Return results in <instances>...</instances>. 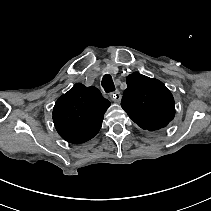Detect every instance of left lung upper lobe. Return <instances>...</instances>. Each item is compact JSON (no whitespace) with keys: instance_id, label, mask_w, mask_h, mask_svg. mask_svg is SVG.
Wrapping results in <instances>:
<instances>
[{"instance_id":"1","label":"left lung upper lobe","mask_w":211,"mask_h":211,"mask_svg":"<svg viewBox=\"0 0 211 211\" xmlns=\"http://www.w3.org/2000/svg\"><path fill=\"white\" fill-rule=\"evenodd\" d=\"M126 83L121 106L139 127L157 131L172 121L174 98L161 81L136 72L127 77Z\"/></svg>"}]
</instances>
